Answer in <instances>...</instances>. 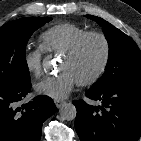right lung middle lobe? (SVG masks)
<instances>
[{
	"label": "right lung middle lobe",
	"mask_w": 141,
	"mask_h": 141,
	"mask_svg": "<svg viewBox=\"0 0 141 141\" xmlns=\"http://www.w3.org/2000/svg\"><path fill=\"white\" fill-rule=\"evenodd\" d=\"M50 17H28L0 27V88H12L30 82L25 48L30 36Z\"/></svg>",
	"instance_id": "dd1d6c3e"
}]
</instances>
